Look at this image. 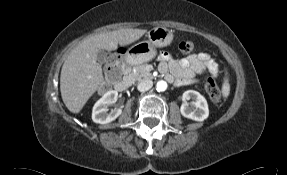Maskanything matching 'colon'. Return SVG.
I'll return each mask as SVG.
<instances>
[{
    "label": "colon",
    "instance_id": "1",
    "mask_svg": "<svg viewBox=\"0 0 287 175\" xmlns=\"http://www.w3.org/2000/svg\"><path fill=\"white\" fill-rule=\"evenodd\" d=\"M194 49H195V44L192 41L186 40V41H182L179 44V50L183 54L191 53ZM119 53H122V50H119ZM202 74H204V85H205V89L209 95V98L214 103L220 102L221 93H220V90L218 89V87L216 86L214 79L210 75H207L205 70L202 71ZM109 78L111 81L118 80V78H119L118 71L114 70L113 72H111Z\"/></svg>",
    "mask_w": 287,
    "mask_h": 175
}]
</instances>
